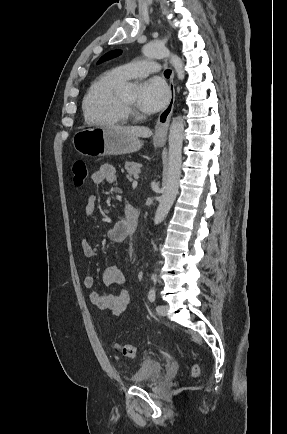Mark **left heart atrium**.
Returning <instances> with one entry per match:
<instances>
[{
    "label": "left heart atrium",
    "mask_w": 287,
    "mask_h": 434,
    "mask_svg": "<svg viewBox=\"0 0 287 434\" xmlns=\"http://www.w3.org/2000/svg\"><path fill=\"white\" fill-rule=\"evenodd\" d=\"M169 94L165 82L159 78H153L140 85L136 103L142 111L154 113L166 105Z\"/></svg>",
    "instance_id": "left-heart-atrium-1"
}]
</instances>
